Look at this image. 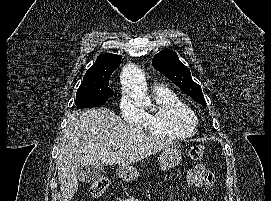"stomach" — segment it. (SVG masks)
Here are the masks:
<instances>
[{"mask_svg":"<svg viewBox=\"0 0 271 201\" xmlns=\"http://www.w3.org/2000/svg\"><path fill=\"white\" fill-rule=\"evenodd\" d=\"M181 160L182 153L178 147H167L159 156V166L162 170H169L177 166ZM117 174L124 181H134L140 177V172L130 165H119Z\"/></svg>","mask_w":271,"mask_h":201,"instance_id":"0dacf381","label":"stomach"}]
</instances>
